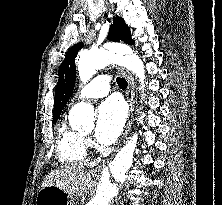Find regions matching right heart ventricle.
<instances>
[{
  "label": "right heart ventricle",
  "mask_w": 222,
  "mask_h": 205,
  "mask_svg": "<svg viewBox=\"0 0 222 205\" xmlns=\"http://www.w3.org/2000/svg\"><path fill=\"white\" fill-rule=\"evenodd\" d=\"M55 152L58 161L67 167H81L88 160L87 141L66 120L57 128Z\"/></svg>",
  "instance_id": "e07e8e85"
}]
</instances>
